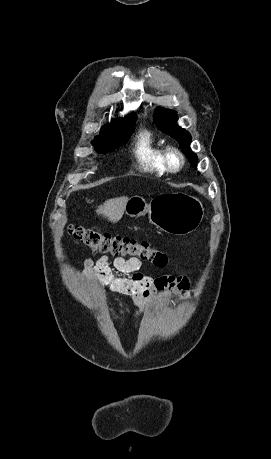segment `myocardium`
<instances>
[{
  "instance_id": "obj_1",
  "label": "myocardium",
  "mask_w": 271,
  "mask_h": 459,
  "mask_svg": "<svg viewBox=\"0 0 271 459\" xmlns=\"http://www.w3.org/2000/svg\"><path fill=\"white\" fill-rule=\"evenodd\" d=\"M163 162L166 169L171 173L181 172L187 163V157L184 151L176 144H169L164 146L162 152ZM176 157L178 164L175 165L173 158Z\"/></svg>"
}]
</instances>
